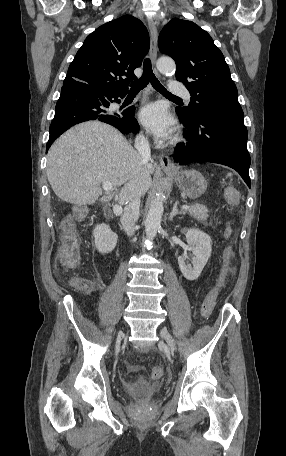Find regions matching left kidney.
Segmentation results:
<instances>
[{
  "instance_id": "obj_1",
  "label": "left kidney",
  "mask_w": 286,
  "mask_h": 456,
  "mask_svg": "<svg viewBox=\"0 0 286 456\" xmlns=\"http://www.w3.org/2000/svg\"><path fill=\"white\" fill-rule=\"evenodd\" d=\"M186 241L188 245L185 248V253L178 257V264L183 276L187 280L193 281L200 276L211 256L212 240L208 234L199 229H189L186 233ZM187 250L192 251L193 266L186 263Z\"/></svg>"
}]
</instances>
